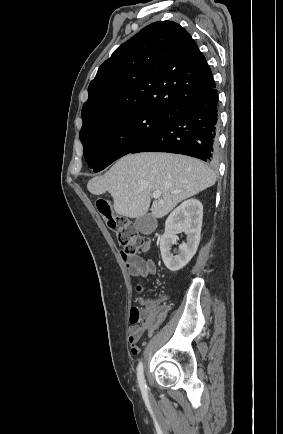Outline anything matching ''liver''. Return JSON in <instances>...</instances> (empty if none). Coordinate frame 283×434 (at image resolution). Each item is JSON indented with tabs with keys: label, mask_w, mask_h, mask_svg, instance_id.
Instances as JSON below:
<instances>
[{
	"label": "liver",
	"mask_w": 283,
	"mask_h": 434,
	"mask_svg": "<svg viewBox=\"0 0 283 434\" xmlns=\"http://www.w3.org/2000/svg\"><path fill=\"white\" fill-rule=\"evenodd\" d=\"M216 175L202 161L185 155L143 152L120 158L104 175L89 180L94 195L109 192L117 214L139 218L147 214L150 197L161 192L152 216L162 218L181 201L213 186Z\"/></svg>",
	"instance_id": "liver-1"
}]
</instances>
